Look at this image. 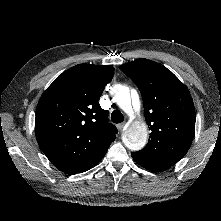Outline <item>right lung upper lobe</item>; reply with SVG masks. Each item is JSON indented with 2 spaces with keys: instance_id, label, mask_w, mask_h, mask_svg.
Returning <instances> with one entry per match:
<instances>
[{
  "instance_id": "right-lung-upper-lobe-1",
  "label": "right lung upper lobe",
  "mask_w": 221,
  "mask_h": 221,
  "mask_svg": "<svg viewBox=\"0 0 221 221\" xmlns=\"http://www.w3.org/2000/svg\"><path fill=\"white\" fill-rule=\"evenodd\" d=\"M111 65L79 64L59 75L41 96L35 118L40 149L59 170L87 171L105 156L117 129L99 99L113 77Z\"/></svg>"
}]
</instances>
